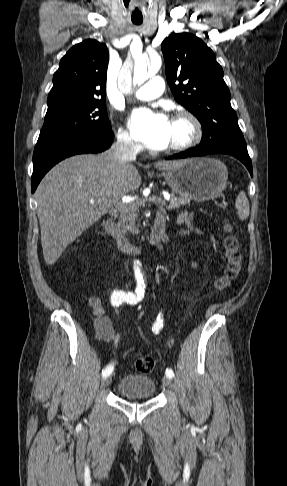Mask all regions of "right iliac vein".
Here are the masks:
<instances>
[{"label": "right iliac vein", "instance_id": "1", "mask_svg": "<svg viewBox=\"0 0 287 486\" xmlns=\"http://www.w3.org/2000/svg\"><path fill=\"white\" fill-rule=\"evenodd\" d=\"M111 383V377H104L102 382H101V386L102 387H107L109 384Z\"/></svg>", "mask_w": 287, "mask_h": 486}]
</instances>
